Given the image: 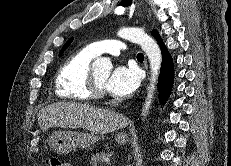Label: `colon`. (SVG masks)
Instances as JSON below:
<instances>
[{"mask_svg": "<svg viewBox=\"0 0 231 166\" xmlns=\"http://www.w3.org/2000/svg\"><path fill=\"white\" fill-rule=\"evenodd\" d=\"M47 166H70L68 162L63 161L55 156H50L46 159Z\"/></svg>", "mask_w": 231, "mask_h": 166, "instance_id": "5ec220e1", "label": "colon"}]
</instances>
